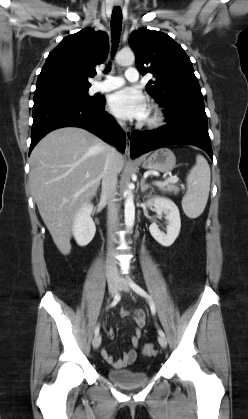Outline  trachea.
<instances>
[{"mask_svg": "<svg viewBox=\"0 0 248 419\" xmlns=\"http://www.w3.org/2000/svg\"><path fill=\"white\" fill-rule=\"evenodd\" d=\"M122 27V10L120 7H115L111 16V30L114 46L118 43Z\"/></svg>", "mask_w": 248, "mask_h": 419, "instance_id": "1", "label": "trachea"}]
</instances>
